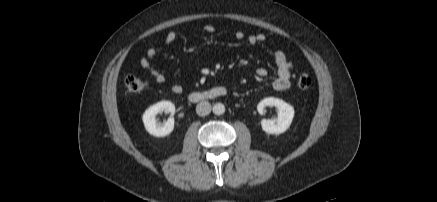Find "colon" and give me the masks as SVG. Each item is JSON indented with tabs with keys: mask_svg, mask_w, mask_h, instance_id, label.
I'll return each instance as SVG.
<instances>
[{
	"mask_svg": "<svg viewBox=\"0 0 437 202\" xmlns=\"http://www.w3.org/2000/svg\"><path fill=\"white\" fill-rule=\"evenodd\" d=\"M298 87L307 90L312 85V79L308 74H301L297 81ZM125 86L128 93L136 95L144 92L148 87V81L135 75H128L125 78Z\"/></svg>",
	"mask_w": 437,
	"mask_h": 202,
	"instance_id": "5ec220e1",
	"label": "colon"
}]
</instances>
